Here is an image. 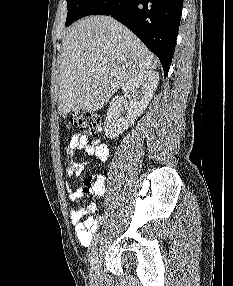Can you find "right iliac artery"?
<instances>
[{"mask_svg":"<svg viewBox=\"0 0 233 286\" xmlns=\"http://www.w3.org/2000/svg\"><path fill=\"white\" fill-rule=\"evenodd\" d=\"M100 236L101 234H97L96 237L94 238V241L92 242V245H91V250H90V254H94L95 250H96V246L100 240Z\"/></svg>","mask_w":233,"mask_h":286,"instance_id":"1","label":"right iliac artery"}]
</instances>
